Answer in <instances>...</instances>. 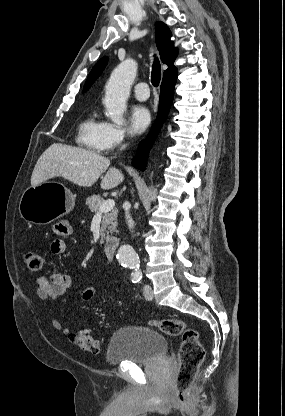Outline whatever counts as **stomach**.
<instances>
[{"label": "stomach", "mask_w": 285, "mask_h": 416, "mask_svg": "<svg viewBox=\"0 0 285 416\" xmlns=\"http://www.w3.org/2000/svg\"><path fill=\"white\" fill-rule=\"evenodd\" d=\"M75 198L59 182H42L39 186L27 188L21 196L19 212L29 224H50L57 218L72 212Z\"/></svg>", "instance_id": "1"}]
</instances>
